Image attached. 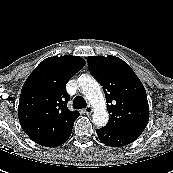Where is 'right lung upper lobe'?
I'll use <instances>...</instances> for the list:
<instances>
[{"label": "right lung upper lobe", "instance_id": "obj_1", "mask_svg": "<svg viewBox=\"0 0 173 173\" xmlns=\"http://www.w3.org/2000/svg\"><path fill=\"white\" fill-rule=\"evenodd\" d=\"M85 65L78 56L49 57L43 60L24 83L18 107L19 122L26 134L41 144L58 136L79 116L70 111L67 82Z\"/></svg>", "mask_w": 173, "mask_h": 173}]
</instances>
